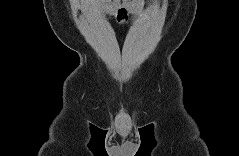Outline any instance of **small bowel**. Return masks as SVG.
I'll return each instance as SVG.
<instances>
[{
	"label": "small bowel",
	"instance_id": "1",
	"mask_svg": "<svg viewBox=\"0 0 239 156\" xmlns=\"http://www.w3.org/2000/svg\"><path fill=\"white\" fill-rule=\"evenodd\" d=\"M97 5L88 9H99L112 14L119 25L125 24L130 19L134 20L142 16L144 9V1L142 0H104L97 2Z\"/></svg>",
	"mask_w": 239,
	"mask_h": 156
}]
</instances>
